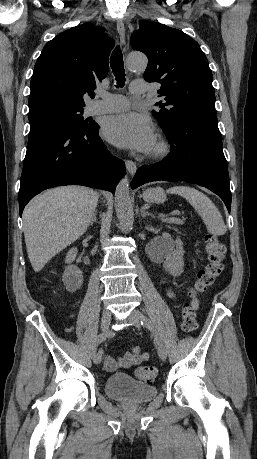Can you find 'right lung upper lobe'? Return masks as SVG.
I'll use <instances>...</instances> for the list:
<instances>
[{"label": "right lung upper lobe", "mask_w": 257, "mask_h": 459, "mask_svg": "<svg viewBox=\"0 0 257 459\" xmlns=\"http://www.w3.org/2000/svg\"><path fill=\"white\" fill-rule=\"evenodd\" d=\"M113 45L114 40L91 23L66 30L49 41L35 64L29 112L84 107L83 95L91 94L108 73Z\"/></svg>", "instance_id": "cb5924a9"}]
</instances>
